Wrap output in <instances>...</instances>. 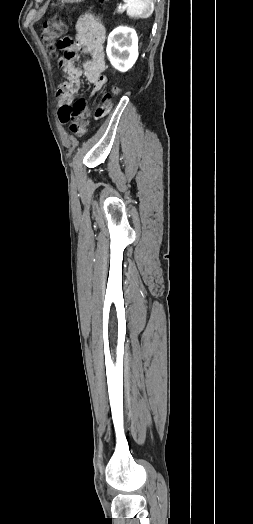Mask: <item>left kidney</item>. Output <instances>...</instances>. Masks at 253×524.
<instances>
[{
  "instance_id": "left-kidney-1",
  "label": "left kidney",
  "mask_w": 253,
  "mask_h": 524,
  "mask_svg": "<svg viewBox=\"0 0 253 524\" xmlns=\"http://www.w3.org/2000/svg\"><path fill=\"white\" fill-rule=\"evenodd\" d=\"M107 56L112 66L125 72L138 58V37L136 31L128 27H118L108 36Z\"/></svg>"
}]
</instances>
